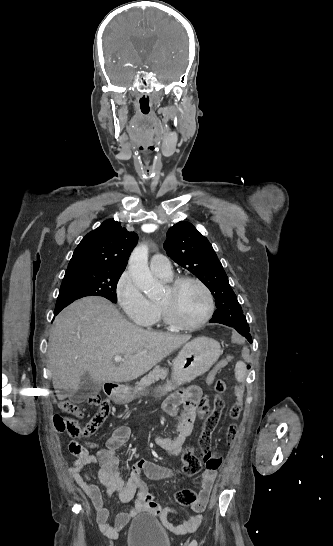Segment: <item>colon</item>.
I'll return each instance as SVG.
<instances>
[{"instance_id":"5ec220e1","label":"colon","mask_w":333,"mask_h":546,"mask_svg":"<svg viewBox=\"0 0 333 546\" xmlns=\"http://www.w3.org/2000/svg\"><path fill=\"white\" fill-rule=\"evenodd\" d=\"M235 390L234 396L237 401L230 409V415L233 419H237L240 414V404L244 400L246 389L240 380L233 382ZM214 389L217 393H223L226 390V383L218 379L215 381ZM87 402L91 406H99L98 412L90 419V421L81 425L74 417H66L55 415L53 424L58 432H66L74 438H87L96 433L107 419L111 406L108 400H102L99 395L92 394L88 397ZM60 409L68 414L81 416L82 412L78 405L70 400H63L59 403ZM224 408L223 400L217 396L213 399L210 405L206 399H200L198 409L201 416V432L198 438L197 447H187L182 451L183 471L187 476H193L199 473L203 464L208 470H216L220 465V459L211 457L210 441L211 434L214 431L221 413ZM236 435L235 425H231L227 431V440L229 443L233 441ZM176 500L181 506H190L197 502L196 495L193 491L183 489L176 494Z\"/></svg>"}]
</instances>
